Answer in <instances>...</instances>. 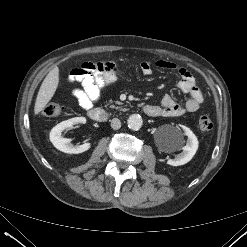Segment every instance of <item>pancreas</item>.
<instances>
[{
	"instance_id": "pancreas-1",
	"label": "pancreas",
	"mask_w": 247,
	"mask_h": 247,
	"mask_svg": "<svg viewBox=\"0 0 247 247\" xmlns=\"http://www.w3.org/2000/svg\"><path fill=\"white\" fill-rule=\"evenodd\" d=\"M116 104H118V105H122L123 103L122 102H120V101H116L115 102ZM111 108H116V109H118V108H120V107H116L115 105H111ZM121 110H123V111H126L127 109L126 108H121Z\"/></svg>"
}]
</instances>
